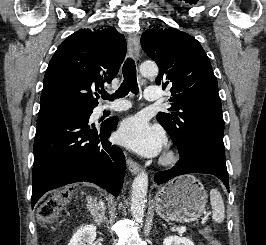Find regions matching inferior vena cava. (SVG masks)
Instances as JSON below:
<instances>
[{
    "instance_id": "602c4592",
    "label": "inferior vena cava",
    "mask_w": 266,
    "mask_h": 245,
    "mask_svg": "<svg viewBox=\"0 0 266 245\" xmlns=\"http://www.w3.org/2000/svg\"><path fill=\"white\" fill-rule=\"evenodd\" d=\"M98 209H104V205H103V203H99V207H98Z\"/></svg>"
}]
</instances>
